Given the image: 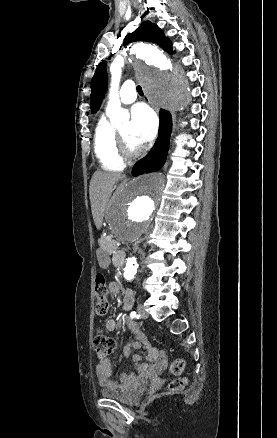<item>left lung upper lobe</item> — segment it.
I'll return each mask as SVG.
<instances>
[{"label": "left lung upper lobe", "instance_id": "left-lung-upper-lobe-1", "mask_svg": "<svg viewBox=\"0 0 277 438\" xmlns=\"http://www.w3.org/2000/svg\"><path fill=\"white\" fill-rule=\"evenodd\" d=\"M134 41L153 42L172 54L171 42L164 36L163 31L150 21L143 22L140 27L131 34H127L124 45ZM107 89L106 61L101 62L95 71L91 81V111L95 113L101 105L104 93Z\"/></svg>", "mask_w": 277, "mask_h": 438}]
</instances>
